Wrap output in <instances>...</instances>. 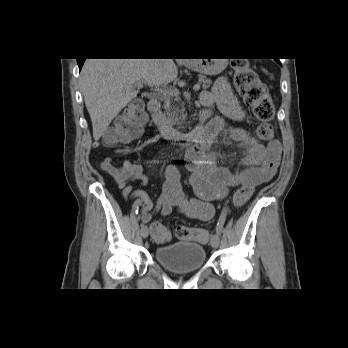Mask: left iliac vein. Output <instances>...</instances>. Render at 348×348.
Wrapping results in <instances>:
<instances>
[{"instance_id": "obj_1", "label": "left iliac vein", "mask_w": 348, "mask_h": 348, "mask_svg": "<svg viewBox=\"0 0 348 348\" xmlns=\"http://www.w3.org/2000/svg\"><path fill=\"white\" fill-rule=\"evenodd\" d=\"M211 246L214 248V249H216V248H218V246H219V243H220V237H219V235L218 234H213L212 236H211Z\"/></svg>"}]
</instances>
